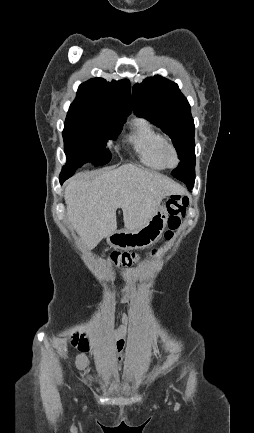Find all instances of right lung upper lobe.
<instances>
[{"label":"right lung upper lobe","mask_w":254,"mask_h":433,"mask_svg":"<svg viewBox=\"0 0 254 433\" xmlns=\"http://www.w3.org/2000/svg\"><path fill=\"white\" fill-rule=\"evenodd\" d=\"M70 108L97 109L109 114L113 121H125L132 111L130 83L128 80L91 79L79 86Z\"/></svg>","instance_id":"cb5924a9"}]
</instances>
